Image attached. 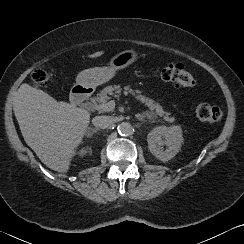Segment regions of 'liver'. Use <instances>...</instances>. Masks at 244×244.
I'll list each match as a JSON object with an SVG mask.
<instances>
[{"label": "liver", "mask_w": 244, "mask_h": 244, "mask_svg": "<svg viewBox=\"0 0 244 244\" xmlns=\"http://www.w3.org/2000/svg\"><path fill=\"white\" fill-rule=\"evenodd\" d=\"M104 54L98 51L88 58ZM13 110L26 144L41 162L53 171L69 170L75 150L82 142L90 113L24 83L13 103Z\"/></svg>", "instance_id": "1"}]
</instances>
